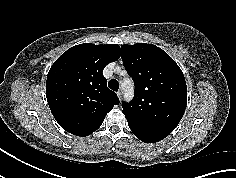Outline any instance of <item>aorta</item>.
<instances>
[{
  "mask_svg": "<svg viewBox=\"0 0 236 178\" xmlns=\"http://www.w3.org/2000/svg\"><path fill=\"white\" fill-rule=\"evenodd\" d=\"M121 87L124 91V97L126 100H131L133 98L134 90H133V82L129 79L121 82Z\"/></svg>",
  "mask_w": 236,
  "mask_h": 178,
  "instance_id": "obj_1",
  "label": "aorta"
}]
</instances>
